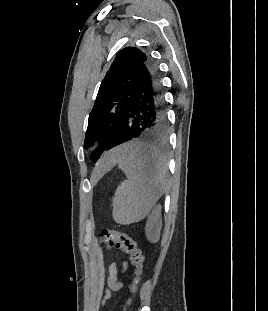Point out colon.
Here are the masks:
<instances>
[{"label": "colon", "instance_id": "obj_1", "mask_svg": "<svg viewBox=\"0 0 268 311\" xmlns=\"http://www.w3.org/2000/svg\"><path fill=\"white\" fill-rule=\"evenodd\" d=\"M100 243L105 245L107 248L113 246L122 249L130 258L132 265L134 266V279L129 287L131 295H133L138 288L141 276L143 273V254L137 243L125 232L116 230L104 229L100 235ZM132 302V298L128 297L123 306L122 310L127 311L128 307Z\"/></svg>", "mask_w": 268, "mask_h": 311}]
</instances>
